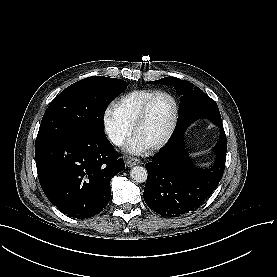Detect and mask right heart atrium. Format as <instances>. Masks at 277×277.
Here are the masks:
<instances>
[{"label": "right heart atrium", "mask_w": 277, "mask_h": 277, "mask_svg": "<svg viewBox=\"0 0 277 277\" xmlns=\"http://www.w3.org/2000/svg\"><path fill=\"white\" fill-rule=\"evenodd\" d=\"M102 124L104 131L115 143H120L130 134V125L119 119L112 108H107L103 112Z\"/></svg>", "instance_id": "obj_1"}]
</instances>
